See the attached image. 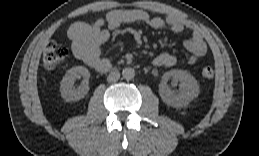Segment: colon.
Masks as SVG:
<instances>
[{"instance_id":"1","label":"colon","mask_w":259,"mask_h":156,"mask_svg":"<svg viewBox=\"0 0 259 156\" xmlns=\"http://www.w3.org/2000/svg\"><path fill=\"white\" fill-rule=\"evenodd\" d=\"M68 55L67 48L56 42H49L43 51L42 65L46 71H53L61 66ZM203 79H212L214 71L212 67L206 66L201 70Z\"/></svg>"}]
</instances>
